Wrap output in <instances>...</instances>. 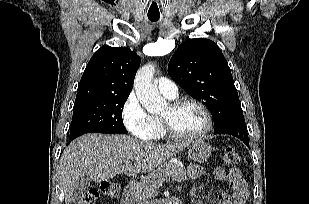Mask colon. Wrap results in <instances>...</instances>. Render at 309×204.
<instances>
[{
  "mask_svg": "<svg viewBox=\"0 0 309 204\" xmlns=\"http://www.w3.org/2000/svg\"><path fill=\"white\" fill-rule=\"evenodd\" d=\"M223 161L229 166L240 163L241 158L235 147L228 146L225 148ZM100 194L110 198H117L120 194V186L116 182L105 181L100 185L99 189H91L83 193L75 204H95Z\"/></svg>",
  "mask_w": 309,
  "mask_h": 204,
  "instance_id": "colon-1",
  "label": "colon"
}]
</instances>
